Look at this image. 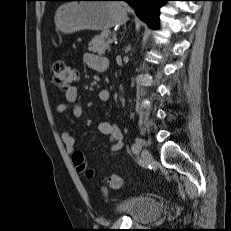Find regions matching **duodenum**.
Wrapping results in <instances>:
<instances>
[{
    "mask_svg": "<svg viewBox=\"0 0 231 231\" xmlns=\"http://www.w3.org/2000/svg\"><path fill=\"white\" fill-rule=\"evenodd\" d=\"M107 68H108V62H107V64L100 65L98 67V71L99 72H104L105 70H107Z\"/></svg>",
    "mask_w": 231,
    "mask_h": 231,
    "instance_id": "1",
    "label": "duodenum"
}]
</instances>
